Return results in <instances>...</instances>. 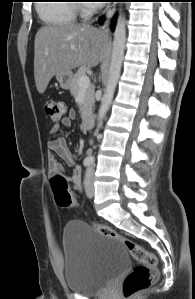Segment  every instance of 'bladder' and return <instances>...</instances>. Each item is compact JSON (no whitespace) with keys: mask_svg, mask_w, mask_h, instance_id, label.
I'll use <instances>...</instances> for the list:
<instances>
[{"mask_svg":"<svg viewBox=\"0 0 195 299\" xmlns=\"http://www.w3.org/2000/svg\"><path fill=\"white\" fill-rule=\"evenodd\" d=\"M64 280L69 291L94 295L129 266L126 247L82 221L63 231Z\"/></svg>","mask_w":195,"mask_h":299,"instance_id":"1","label":"bladder"}]
</instances>
